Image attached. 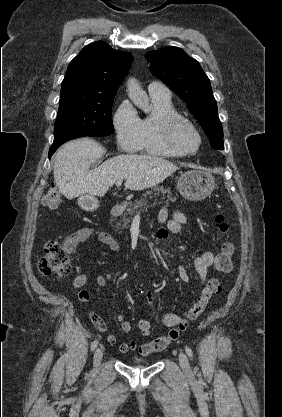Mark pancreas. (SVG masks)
Returning a JSON list of instances; mask_svg holds the SVG:
<instances>
[{
  "instance_id": "1",
  "label": "pancreas",
  "mask_w": 282,
  "mask_h": 417,
  "mask_svg": "<svg viewBox=\"0 0 282 417\" xmlns=\"http://www.w3.org/2000/svg\"><path fill=\"white\" fill-rule=\"evenodd\" d=\"M153 192L155 196L163 194L160 202H163L164 198H166L164 194H167L165 204H167L168 200H172V202H175L176 200V196L175 198L171 196L172 192L170 188H164V186H152L151 190H146V192H144L143 198H140V200H136V204H131L132 209H126V213H124V215H120V223H117L118 231L119 229H129L128 223H131L133 219L132 215H135V213H137V209H140V211H142V206H146L147 196H149V198H152L150 194H153ZM128 215H131V217H128Z\"/></svg>"
}]
</instances>
